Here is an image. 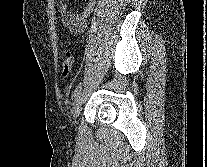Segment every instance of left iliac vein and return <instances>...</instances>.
<instances>
[{
  "label": "left iliac vein",
  "instance_id": "1",
  "mask_svg": "<svg viewBox=\"0 0 207 167\" xmlns=\"http://www.w3.org/2000/svg\"><path fill=\"white\" fill-rule=\"evenodd\" d=\"M82 101H83V94L80 93L75 101H74V104H73V109H72V115H73V118H74V121L76 122L77 121V118L80 114V111H81V106H82Z\"/></svg>",
  "mask_w": 207,
  "mask_h": 167
}]
</instances>
